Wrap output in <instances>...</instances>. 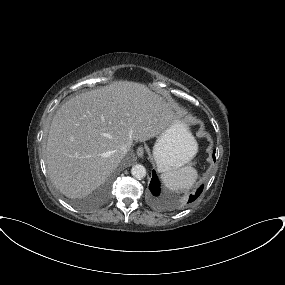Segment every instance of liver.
Here are the masks:
<instances>
[{"instance_id": "obj_1", "label": "liver", "mask_w": 285, "mask_h": 285, "mask_svg": "<svg viewBox=\"0 0 285 285\" xmlns=\"http://www.w3.org/2000/svg\"><path fill=\"white\" fill-rule=\"evenodd\" d=\"M173 118L171 102L145 85L116 81L81 93L63 104L50 126L45 161L59 191L89 195L116 169L134 140L160 137Z\"/></svg>"}]
</instances>
